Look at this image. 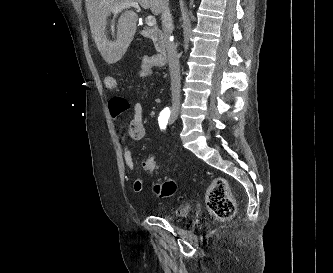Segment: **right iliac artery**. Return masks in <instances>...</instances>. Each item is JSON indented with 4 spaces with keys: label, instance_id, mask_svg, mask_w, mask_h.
Wrapping results in <instances>:
<instances>
[{
    "label": "right iliac artery",
    "instance_id": "82829eb1",
    "mask_svg": "<svg viewBox=\"0 0 333 273\" xmlns=\"http://www.w3.org/2000/svg\"><path fill=\"white\" fill-rule=\"evenodd\" d=\"M170 113H171V111L168 107L164 108L160 112L159 117H158V123H159L160 129H162V130L166 129V126L168 124V120L170 117Z\"/></svg>",
    "mask_w": 333,
    "mask_h": 273
}]
</instances>
